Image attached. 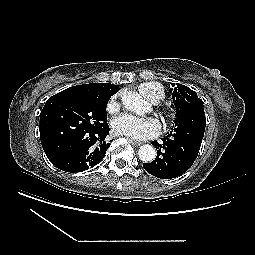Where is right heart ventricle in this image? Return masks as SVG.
Wrapping results in <instances>:
<instances>
[{
	"mask_svg": "<svg viewBox=\"0 0 255 255\" xmlns=\"http://www.w3.org/2000/svg\"><path fill=\"white\" fill-rule=\"evenodd\" d=\"M139 93L149 102L156 104L165 98L163 88L156 83H143L138 86Z\"/></svg>",
	"mask_w": 255,
	"mask_h": 255,
	"instance_id": "1",
	"label": "right heart ventricle"
}]
</instances>
